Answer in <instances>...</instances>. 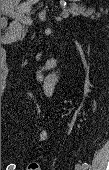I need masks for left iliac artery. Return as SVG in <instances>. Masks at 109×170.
<instances>
[{"instance_id": "obj_1", "label": "left iliac artery", "mask_w": 109, "mask_h": 170, "mask_svg": "<svg viewBox=\"0 0 109 170\" xmlns=\"http://www.w3.org/2000/svg\"><path fill=\"white\" fill-rule=\"evenodd\" d=\"M82 166H83L84 170H86V169H88L89 164L88 163H83Z\"/></svg>"}]
</instances>
